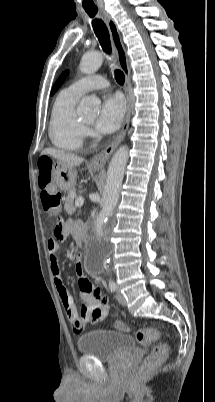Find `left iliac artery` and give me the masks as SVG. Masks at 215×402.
<instances>
[{
  "label": "left iliac artery",
  "mask_w": 215,
  "mask_h": 402,
  "mask_svg": "<svg viewBox=\"0 0 215 402\" xmlns=\"http://www.w3.org/2000/svg\"><path fill=\"white\" fill-rule=\"evenodd\" d=\"M109 288L111 291L116 290V283L113 280H109Z\"/></svg>",
  "instance_id": "left-iliac-artery-1"
}]
</instances>
